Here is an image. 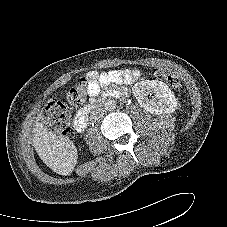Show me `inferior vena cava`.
Masks as SVG:
<instances>
[{
  "label": "inferior vena cava",
  "instance_id": "inferior-vena-cava-1",
  "mask_svg": "<svg viewBox=\"0 0 227 227\" xmlns=\"http://www.w3.org/2000/svg\"><path fill=\"white\" fill-rule=\"evenodd\" d=\"M104 115V109L103 108H94L91 113H90V120L92 121H97L99 119H101Z\"/></svg>",
  "mask_w": 227,
  "mask_h": 227
}]
</instances>
